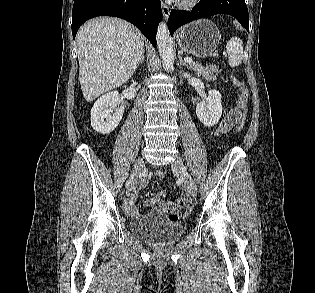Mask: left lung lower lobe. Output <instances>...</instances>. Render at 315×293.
Returning a JSON list of instances; mask_svg holds the SVG:
<instances>
[{"label":"left lung lower lobe","instance_id":"left-lung-lower-lobe-1","mask_svg":"<svg viewBox=\"0 0 315 293\" xmlns=\"http://www.w3.org/2000/svg\"><path fill=\"white\" fill-rule=\"evenodd\" d=\"M216 14H229L235 17L247 31L249 30V16L245 0H200V3L190 11L171 10L169 32L172 36L180 26Z\"/></svg>","mask_w":315,"mask_h":293}]
</instances>
